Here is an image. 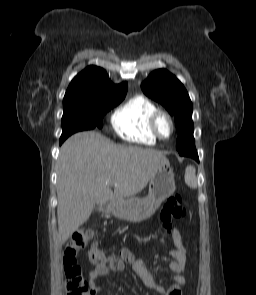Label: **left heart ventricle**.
Masks as SVG:
<instances>
[{
	"mask_svg": "<svg viewBox=\"0 0 256 295\" xmlns=\"http://www.w3.org/2000/svg\"><path fill=\"white\" fill-rule=\"evenodd\" d=\"M159 127L163 135L167 136L169 134L170 128L166 120H161Z\"/></svg>",
	"mask_w": 256,
	"mask_h": 295,
	"instance_id": "1",
	"label": "left heart ventricle"
}]
</instances>
